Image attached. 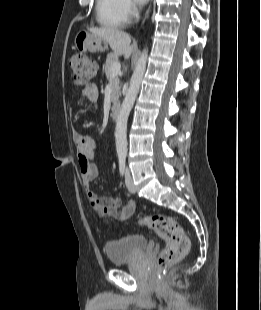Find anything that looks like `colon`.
I'll list each match as a JSON object with an SVG mask.
<instances>
[{"label": "colon", "mask_w": 261, "mask_h": 310, "mask_svg": "<svg viewBox=\"0 0 261 310\" xmlns=\"http://www.w3.org/2000/svg\"><path fill=\"white\" fill-rule=\"evenodd\" d=\"M72 80L77 86H84L95 77L97 64L85 54L77 53L70 59ZM140 224L153 229L165 241L158 256V266L165 267L182 259L189 251L190 241L181 224L173 217L156 214L140 219Z\"/></svg>", "instance_id": "colon-1"}]
</instances>
